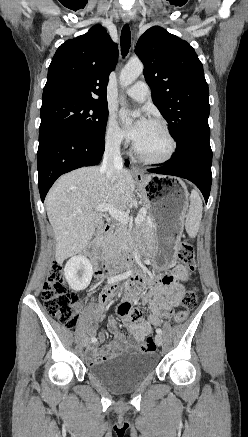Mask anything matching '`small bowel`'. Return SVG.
Listing matches in <instances>:
<instances>
[{"label":"small bowel","mask_w":248,"mask_h":437,"mask_svg":"<svg viewBox=\"0 0 248 437\" xmlns=\"http://www.w3.org/2000/svg\"><path fill=\"white\" fill-rule=\"evenodd\" d=\"M188 275L186 267L177 265L170 276L165 275L159 279L140 276L131 281L130 290L119 305L118 311L127 324L131 337L136 342L143 341L150 334L152 327L158 326L161 320L169 317L172 314V309L179 305L184 294L182 282L188 278ZM147 287L149 290H146ZM117 288L116 284L104 288L99 296V310L111 302ZM139 297H141L142 304L149 303L151 306V313L146 319L141 317L139 310L130 307L131 303ZM108 328L114 335V340L99 348L96 346L97 340L104 342L106 335L105 333L98 335L96 342H93L87 349V358L91 364L106 361L125 350H134L136 347L128 342L125 334L119 330L114 318L109 319Z\"/></svg>","instance_id":"1"}]
</instances>
